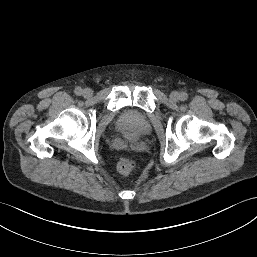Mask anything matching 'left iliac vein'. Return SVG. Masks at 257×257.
<instances>
[{
  "label": "left iliac vein",
  "instance_id": "obj_1",
  "mask_svg": "<svg viewBox=\"0 0 257 257\" xmlns=\"http://www.w3.org/2000/svg\"><path fill=\"white\" fill-rule=\"evenodd\" d=\"M180 99V94L177 91H173L170 94V100L173 102H177Z\"/></svg>",
  "mask_w": 257,
  "mask_h": 257
}]
</instances>
